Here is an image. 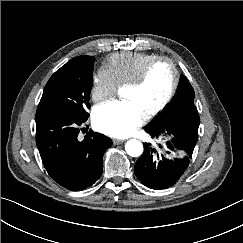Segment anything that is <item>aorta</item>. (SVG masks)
<instances>
[{
	"mask_svg": "<svg viewBox=\"0 0 243 243\" xmlns=\"http://www.w3.org/2000/svg\"><path fill=\"white\" fill-rule=\"evenodd\" d=\"M126 153L131 157H139L143 153V144L139 140L132 139L125 145Z\"/></svg>",
	"mask_w": 243,
	"mask_h": 243,
	"instance_id": "1",
	"label": "aorta"
}]
</instances>
